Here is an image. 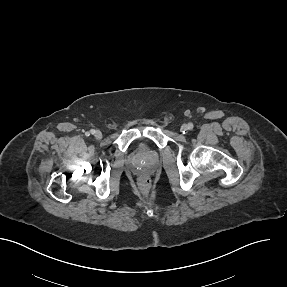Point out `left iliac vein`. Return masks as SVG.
Masks as SVG:
<instances>
[{
    "label": "left iliac vein",
    "instance_id": "left-iliac-vein-1",
    "mask_svg": "<svg viewBox=\"0 0 287 287\" xmlns=\"http://www.w3.org/2000/svg\"><path fill=\"white\" fill-rule=\"evenodd\" d=\"M181 130H182V131H188V130H189L188 125H187V124H183V125L181 126Z\"/></svg>",
    "mask_w": 287,
    "mask_h": 287
}]
</instances>
